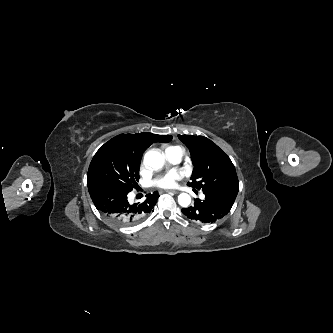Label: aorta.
<instances>
[{
  "mask_svg": "<svg viewBox=\"0 0 333 333\" xmlns=\"http://www.w3.org/2000/svg\"><path fill=\"white\" fill-rule=\"evenodd\" d=\"M144 163L148 168L160 169L164 165V157L157 151H148L144 156ZM178 203L182 207H188L191 203V197L187 193L178 196Z\"/></svg>",
  "mask_w": 333,
  "mask_h": 333,
  "instance_id": "762f6f07",
  "label": "aorta"
}]
</instances>
